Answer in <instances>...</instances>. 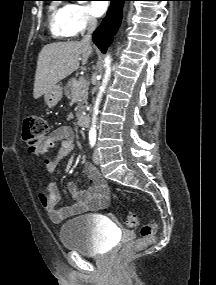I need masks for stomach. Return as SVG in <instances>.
Masks as SVG:
<instances>
[{
  "label": "stomach",
  "instance_id": "obj_1",
  "mask_svg": "<svg viewBox=\"0 0 216 285\" xmlns=\"http://www.w3.org/2000/svg\"><path fill=\"white\" fill-rule=\"evenodd\" d=\"M63 88L61 85L56 84L50 91L44 94V100L48 107H54L61 100Z\"/></svg>",
  "mask_w": 216,
  "mask_h": 285
}]
</instances>
